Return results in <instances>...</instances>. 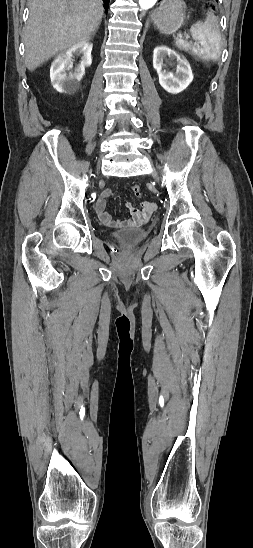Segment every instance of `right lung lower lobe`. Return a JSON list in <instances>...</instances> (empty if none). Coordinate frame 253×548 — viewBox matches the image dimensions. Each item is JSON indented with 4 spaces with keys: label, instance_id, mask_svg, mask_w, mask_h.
<instances>
[{
    "label": "right lung lower lobe",
    "instance_id": "right-lung-lower-lobe-1",
    "mask_svg": "<svg viewBox=\"0 0 253 548\" xmlns=\"http://www.w3.org/2000/svg\"><path fill=\"white\" fill-rule=\"evenodd\" d=\"M103 2L105 4L106 8L108 9L109 0H103Z\"/></svg>",
    "mask_w": 253,
    "mask_h": 548
}]
</instances>
